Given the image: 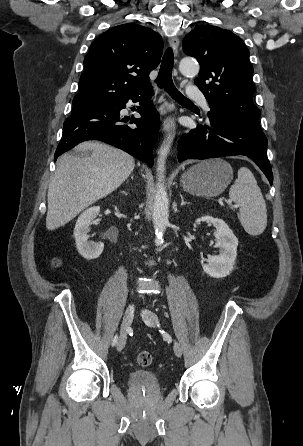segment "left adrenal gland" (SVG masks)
I'll list each match as a JSON object with an SVG mask.
<instances>
[{
  "instance_id": "a2214340",
  "label": "left adrenal gland",
  "mask_w": 303,
  "mask_h": 446,
  "mask_svg": "<svg viewBox=\"0 0 303 446\" xmlns=\"http://www.w3.org/2000/svg\"><path fill=\"white\" fill-rule=\"evenodd\" d=\"M180 198H181V205L190 204V202H187V201L184 200L182 194H180Z\"/></svg>"
}]
</instances>
